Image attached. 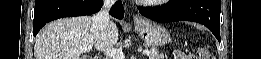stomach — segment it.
Returning a JSON list of instances; mask_svg holds the SVG:
<instances>
[{"instance_id":"0dacf381","label":"stomach","mask_w":261,"mask_h":59,"mask_svg":"<svg viewBox=\"0 0 261 59\" xmlns=\"http://www.w3.org/2000/svg\"><path fill=\"white\" fill-rule=\"evenodd\" d=\"M140 37L150 46H163L170 42L169 32L157 22L142 19L135 24Z\"/></svg>"}]
</instances>
